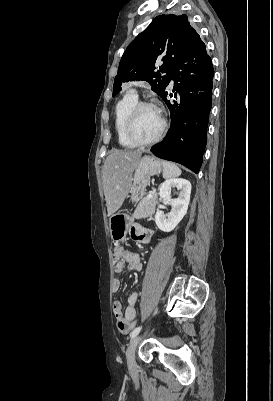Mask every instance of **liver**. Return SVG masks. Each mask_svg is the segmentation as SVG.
Listing matches in <instances>:
<instances>
[{
	"label": "liver",
	"instance_id": "obj_1",
	"mask_svg": "<svg viewBox=\"0 0 273 401\" xmlns=\"http://www.w3.org/2000/svg\"><path fill=\"white\" fill-rule=\"evenodd\" d=\"M141 150L112 148L102 168L103 190L108 217L123 205L132 184V174L141 156Z\"/></svg>",
	"mask_w": 273,
	"mask_h": 401
}]
</instances>
